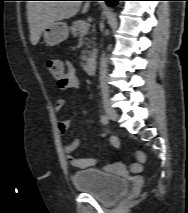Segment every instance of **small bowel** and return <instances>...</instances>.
<instances>
[{
	"instance_id": "c3829d8e",
	"label": "small bowel",
	"mask_w": 188,
	"mask_h": 213,
	"mask_svg": "<svg viewBox=\"0 0 188 213\" xmlns=\"http://www.w3.org/2000/svg\"><path fill=\"white\" fill-rule=\"evenodd\" d=\"M58 87L63 91H70L76 89L80 85V79L78 76L74 74L73 68L68 65L67 71L63 72V75L60 78H56ZM66 104V100L64 98H60L55 102L54 108L55 111L59 112L64 109ZM58 130L60 133L65 134L69 127L70 121L69 120H60L57 124ZM108 134V129H103V136ZM79 139H74L65 146V152L67 153L68 161L70 164L76 169H85L93 167L97 164V159L95 158H79L74 156L72 153L78 148L79 146ZM111 143L115 147H119V141L117 138L112 137ZM121 168V165L118 162H114L110 165L105 167L107 171H115Z\"/></svg>"
}]
</instances>
